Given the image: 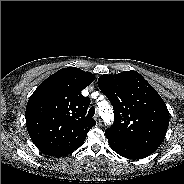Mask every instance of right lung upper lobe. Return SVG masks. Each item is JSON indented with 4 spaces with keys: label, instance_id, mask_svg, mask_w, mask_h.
<instances>
[{
    "label": "right lung upper lobe",
    "instance_id": "1",
    "mask_svg": "<svg viewBox=\"0 0 184 184\" xmlns=\"http://www.w3.org/2000/svg\"><path fill=\"white\" fill-rule=\"evenodd\" d=\"M93 81L91 72L67 67L50 75L33 92L26 106V127L41 152L60 157L83 144L96 121L85 116L90 98L81 91Z\"/></svg>",
    "mask_w": 184,
    "mask_h": 184
}]
</instances>
